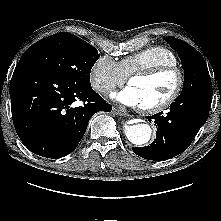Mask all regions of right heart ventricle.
Listing matches in <instances>:
<instances>
[{
    "instance_id": "right-heart-ventricle-1",
    "label": "right heart ventricle",
    "mask_w": 221,
    "mask_h": 221,
    "mask_svg": "<svg viewBox=\"0 0 221 221\" xmlns=\"http://www.w3.org/2000/svg\"><path fill=\"white\" fill-rule=\"evenodd\" d=\"M122 72L129 76L135 71L156 67L159 65H177L178 59L169 48L154 45L136 53L125 56L119 62Z\"/></svg>"
}]
</instances>
